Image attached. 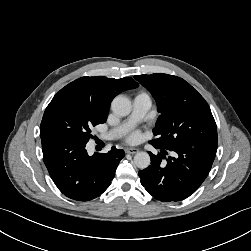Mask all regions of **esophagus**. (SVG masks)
<instances>
[{
  "mask_svg": "<svg viewBox=\"0 0 251 251\" xmlns=\"http://www.w3.org/2000/svg\"><path fill=\"white\" fill-rule=\"evenodd\" d=\"M139 150L137 148H126L125 152L129 154H136Z\"/></svg>",
  "mask_w": 251,
  "mask_h": 251,
  "instance_id": "1",
  "label": "esophagus"
}]
</instances>
